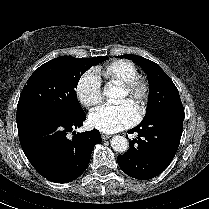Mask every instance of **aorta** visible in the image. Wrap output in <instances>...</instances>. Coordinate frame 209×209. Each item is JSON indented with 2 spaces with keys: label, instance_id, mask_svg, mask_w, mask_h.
Returning a JSON list of instances; mask_svg holds the SVG:
<instances>
[{
  "label": "aorta",
  "instance_id": "762f6f07",
  "mask_svg": "<svg viewBox=\"0 0 209 209\" xmlns=\"http://www.w3.org/2000/svg\"><path fill=\"white\" fill-rule=\"evenodd\" d=\"M104 95L107 98H117L120 95V89L115 86H109L104 90ZM111 147L116 152H125L129 147L128 140L124 136L116 135L111 139Z\"/></svg>",
  "mask_w": 209,
  "mask_h": 209
}]
</instances>
